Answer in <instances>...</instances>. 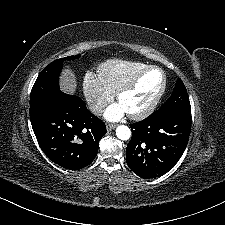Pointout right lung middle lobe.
Here are the masks:
<instances>
[{"label":"right lung middle lobe","mask_w":225,"mask_h":225,"mask_svg":"<svg viewBox=\"0 0 225 225\" xmlns=\"http://www.w3.org/2000/svg\"><path fill=\"white\" fill-rule=\"evenodd\" d=\"M79 57L80 55L60 58L47 65L38 75V78L33 85L30 95V105L51 94L59 93V75L63 67L64 60H74Z\"/></svg>","instance_id":"obj_1"}]
</instances>
